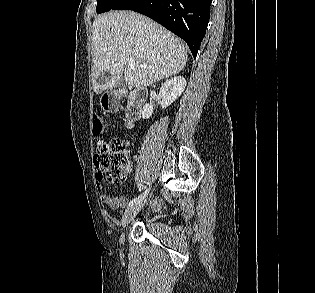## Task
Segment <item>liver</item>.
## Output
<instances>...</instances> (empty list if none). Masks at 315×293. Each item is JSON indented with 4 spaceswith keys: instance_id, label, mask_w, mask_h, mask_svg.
I'll return each mask as SVG.
<instances>
[{
    "instance_id": "1",
    "label": "liver",
    "mask_w": 315,
    "mask_h": 293,
    "mask_svg": "<svg viewBox=\"0 0 315 293\" xmlns=\"http://www.w3.org/2000/svg\"><path fill=\"white\" fill-rule=\"evenodd\" d=\"M93 89L100 92L115 85L101 84L105 70L122 75L126 84L144 88L178 74L187 61L183 42L169 30L132 11L108 12L92 26ZM129 59L136 65L131 67Z\"/></svg>"
}]
</instances>
